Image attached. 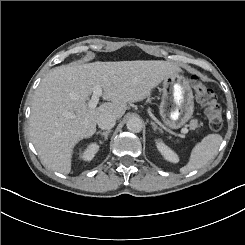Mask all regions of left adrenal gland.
<instances>
[{"instance_id":"1","label":"left adrenal gland","mask_w":245,"mask_h":245,"mask_svg":"<svg viewBox=\"0 0 245 245\" xmlns=\"http://www.w3.org/2000/svg\"><path fill=\"white\" fill-rule=\"evenodd\" d=\"M151 125L153 126L154 130L158 129L161 133H163V130L160 127H158L154 122H151Z\"/></svg>"}]
</instances>
